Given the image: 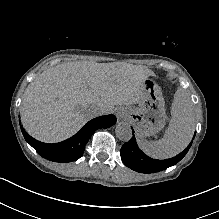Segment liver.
<instances>
[{
	"label": "liver",
	"instance_id": "obj_1",
	"mask_svg": "<svg viewBox=\"0 0 219 219\" xmlns=\"http://www.w3.org/2000/svg\"><path fill=\"white\" fill-rule=\"evenodd\" d=\"M153 72L127 63L70 62L39 74L25 89L21 122L33 138L57 143L94 118L90 106L113 113L143 96V80Z\"/></svg>",
	"mask_w": 219,
	"mask_h": 219
}]
</instances>
